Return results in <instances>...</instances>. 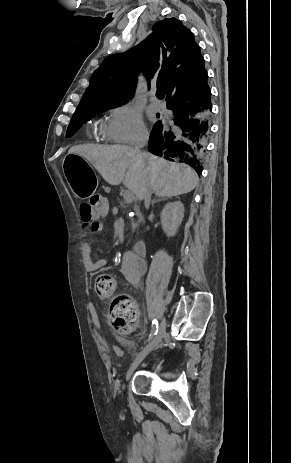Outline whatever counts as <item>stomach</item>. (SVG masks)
Listing matches in <instances>:
<instances>
[{"mask_svg": "<svg viewBox=\"0 0 291 463\" xmlns=\"http://www.w3.org/2000/svg\"><path fill=\"white\" fill-rule=\"evenodd\" d=\"M63 170L73 194L80 199L90 197L96 189V177L86 159L69 151L64 159Z\"/></svg>", "mask_w": 291, "mask_h": 463, "instance_id": "stomach-1", "label": "stomach"}]
</instances>
